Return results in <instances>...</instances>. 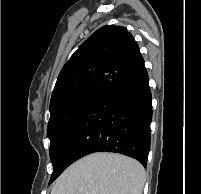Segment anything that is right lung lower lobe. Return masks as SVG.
<instances>
[{
    "label": "right lung lower lobe",
    "instance_id": "obj_1",
    "mask_svg": "<svg viewBox=\"0 0 201 194\" xmlns=\"http://www.w3.org/2000/svg\"><path fill=\"white\" fill-rule=\"evenodd\" d=\"M149 78L141 63L84 110L54 151L56 179L71 163L94 152H115L147 166L152 120Z\"/></svg>",
    "mask_w": 201,
    "mask_h": 194
}]
</instances>
